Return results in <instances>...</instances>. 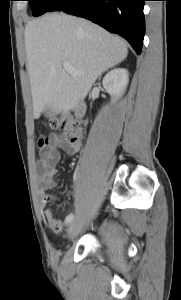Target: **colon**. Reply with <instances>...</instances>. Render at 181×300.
Masks as SVG:
<instances>
[{"label": "colon", "instance_id": "obj_1", "mask_svg": "<svg viewBox=\"0 0 181 300\" xmlns=\"http://www.w3.org/2000/svg\"><path fill=\"white\" fill-rule=\"evenodd\" d=\"M48 124L51 128L60 129L72 144L77 145L82 141L84 125L81 122L60 116L49 118Z\"/></svg>", "mask_w": 181, "mask_h": 300}]
</instances>
